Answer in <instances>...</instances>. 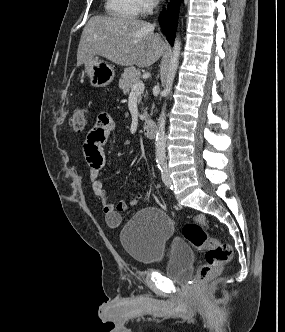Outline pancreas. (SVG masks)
<instances>
[{
  "label": "pancreas",
  "instance_id": "cf45deb5",
  "mask_svg": "<svg viewBox=\"0 0 285 332\" xmlns=\"http://www.w3.org/2000/svg\"><path fill=\"white\" fill-rule=\"evenodd\" d=\"M141 73L135 67H128L124 70L121 75V79L119 80V87L123 90L124 94L129 93L130 89L133 86L140 82ZM147 112L144 110L143 116L146 117Z\"/></svg>",
  "mask_w": 285,
  "mask_h": 332
}]
</instances>
